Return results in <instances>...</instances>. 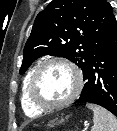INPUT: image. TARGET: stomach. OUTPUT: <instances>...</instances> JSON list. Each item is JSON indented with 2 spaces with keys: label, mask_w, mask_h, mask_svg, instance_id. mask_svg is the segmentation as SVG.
Segmentation results:
<instances>
[{
  "label": "stomach",
  "mask_w": 117,
  "mask_h": 131,
  "mask_svg": "<svg viewBox=\"0 0 117 131\" xmlns=\"http://www.w3.org/2000/svg\"><path fill=\"white\" fill-rule=\"evenodd\" d=\"M63 121H64V120L62 119L60 122H63ZM57 123H58L57 121L53 120V121H50V122L48 123V126L54 127Z\"/></svg>",
  "instance_id": "obj_1"
}]
</instances>
